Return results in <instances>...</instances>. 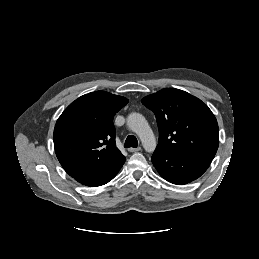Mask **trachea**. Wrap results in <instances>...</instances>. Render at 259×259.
I'll return each mask as SVG.
<instances>
[{
	"label": "trachea",
	"mask_w": 259,
	"mask_h": 259,
	"mask_svg": "<svg viewBox=\"0 0 259 259\" xmlns=\"http://www.w3.org/2000/svg\"><path fill=\"white\" fill-rule=\"evenodd\" d=\"M138 146V141L135 136L129 135L124 143L125 148L133 147L136 148Z\"/></svg>",
	"instance_id": "1"
}]
</instances>
